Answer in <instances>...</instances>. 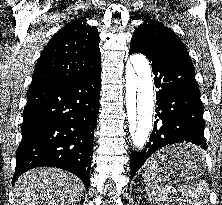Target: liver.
<instances>
[{"mask_svg":"<svg viewBox=\"0 0 222 205\" xmlns=\"http://www.w3.org/2000/svg\"><path fill=\"white\" fill-rule=\"evenodd\" d=\"M85 187L82 181L57 168H35L15 183L14 205H77Z\"/></svg>","mask_w":222,"mask_h":205,"instance_id":"liver-1","label":"liver"}]
</instances>
